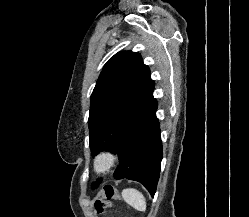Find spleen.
Masks as SVG:
<instances>
[{"mask_svg": "<svg viewBox=\"0 0 249 217\" xmlns=\"http://www.w3.org/2000/svg\"><path fill=\"white\" fill-rule=\"evenodd\" d=\"M122 197L130 206H132L136 210H146V199L140 191L134 188L124 189L122 192Z\"/></svg>", "mask_w": 249, "mask_h": 217, "instance_id": "1", "label": "spleen"}]
</instances>
